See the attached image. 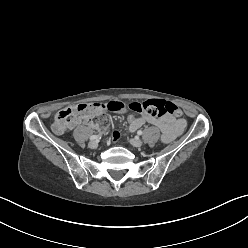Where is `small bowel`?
I'll return each mask as SVG.
<instances>
[{"label": "small bowel", "mask_w": 248, "mask_h": 248, "mask_svg": "<svg viewBox=\"0 0 248 248\" xmlns=\"http://www.w3.org/2000/svg\"><path fill=\"white\" fill-rule=\"evenodd\" d=\"M151 124L157 127L161 132V140L164 143H170L176 137H178L185 127L184 119H175L172 116H164V117H152L142 115L139 117H135V120L132 121V124L129 125V132H135L137 129L141 128L145 124ZM111 141L114 145L120 144V136L117 128H114L111 131Z\"/></svg>", "instance_id": "c3829d8e"}]
</instances>
